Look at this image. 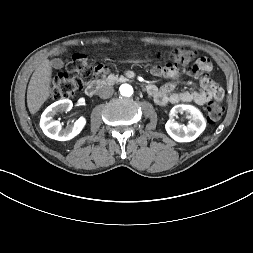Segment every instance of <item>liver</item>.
Listing matches in <instances>:
<instances>
[{
    "instance_id": "liver-1",
    "label": "liver",
    "mask_w": 253,
    "mask_h": 253,
    "mask_svg": "<svg viewBox=\"0 0 253 253\" xmlns=\"http://www.w3.org/2000/svg\"><path fill=\"white\" fill-rule=\"evenodd\" d=\"M65 49L55 51L60 54ZM52 65L48 59L43 60L34 71L27 90V106L31 114L39 111L51 93Z\"/></svg>"
}]
</instances>
